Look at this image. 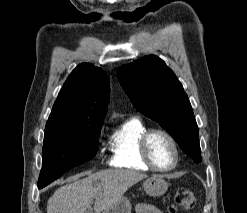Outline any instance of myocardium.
<instances>
[{
	"mask_svg": "<svg viewBox=\"0 0 247 213\" xmlns=\"http://www.w3.org/2000/svg\"><path fill=\"white\" fill-rule=\"evenodd\" d=\"M155 134H161L165 136L172 145V148L174 151V162L168 168H161L157 166L151 158L150 151H149V143H150V139ZM139 150H140V156L142 160L144 161V163L147 166H149L152 170L161 172V173H167V172L174 170L177 167L179 160H180V151H179V147H178V144L175 138L168 131L164 129H160V128L149 129L142 135L140 139V143H139Z\"/></svg>",
	"mask_w": 247,
	"mask_h": 213,
	"instance_id": "obj_1",
	"label": "myocardium"
}]
</instances>
